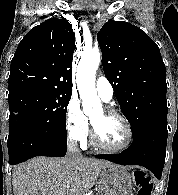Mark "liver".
Masks as SVG:
<instances>
[{"mask_svg": "<svg viewBox=\"0 0 178 195\" xmlns=\"http://www.w3.org/2000/svg\"><path fill=\"white\" fill-rule=\"evenodd\" d=\"M112 162L80 158L75 164L68 157H35L12 171L14 195H87L104 169Z\"/></svg>", "mask_w": 178, "mask_h": 195, "instance_id": "obj_1", "label": "liver"}]
</instances>
